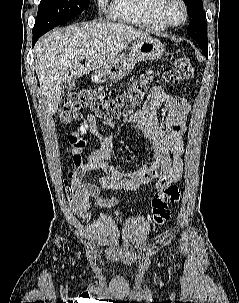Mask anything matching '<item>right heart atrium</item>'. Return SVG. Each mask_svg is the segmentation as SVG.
I'll list each match as a JSON object with an SVG mask.
<instances>
[{"instance_id": "1", "label": "right heart atrium", "mask_w": 239, "mask_h": 303, "mask_svg": "<svg viewBox=\"0 0 239 303\" xmlns=\"http://www.w3.org/2000/svg\"><path fill=\"white\" fill-rule=\"evenodd\" d=\"M97 1H98V6L101 9H105L106 8L108 0H97Z\"/></svg>"}]
</instances>
